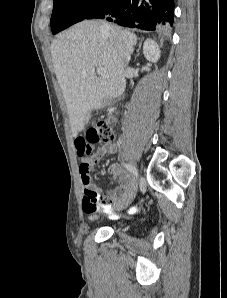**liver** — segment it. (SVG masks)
Returning a JSON list of instances; mask_svg holds the SVG:
<instances>
[{"label":"liver","instance_id":"obj_1","mask_svg":"<svg viewBox=\"0 0 227 298\" xmlns=\"http://www.w3.org/2000/svg\"><path fill=\"white\" fill-rule=\"evenodd\" d=\"M101 22L84 20L53 40L50 51L55 75L66 101L73 137L84 130L92 110L121 96L126 88L125 54H132L137 36L118 26L104 32ZM103 67L109 78L97 77Z\"/></svg>","mask_w":227,"mask_h":298}]
</instances>
